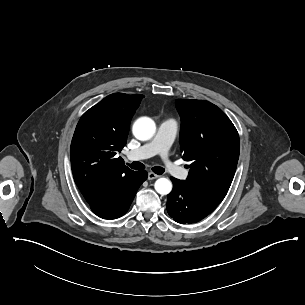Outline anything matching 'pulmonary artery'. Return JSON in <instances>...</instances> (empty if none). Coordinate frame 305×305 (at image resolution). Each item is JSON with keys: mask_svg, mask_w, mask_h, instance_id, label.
<instances>
[{"mask_svg": "<svg viewBox=\"0 0 305 305\" xmlns=\"http://www.w3.org/2000/svg\"><path fill=\"white\" fill-rule=\"evenodd\" d=\"M177 131V124L173 119L163 120L159 123L155 135L139 149L133 150L129 154V158L133 161H140L148 156L159 155L164 159L162 165L164 169L176 179L185 177L186 172L182 168H178L175 161L167 158L168 151L174 141Z\"/></svg>", "mask_w": 305, "mask_h": 305, "instance_id": "e3ab8cb5", "label": "pulmonary artery"}]
</instances>
